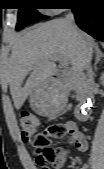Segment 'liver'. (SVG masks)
Returning a JSON list of instances; mask_svg holds the SVG:
<instances>
[{
	"instance_id": "obj_1",
	"label": "liver",
	"mask_w": 104,
	"mask_h": 169,
	"mask_svg": "<svg viewBox=\"0 0 104 169\" xmlns=\"http://www.w3.org/2000/svg\"><path fill=\"white\" fill-rule=\"evenodd\" d=\"M96 46L94 39L85 32L76 28L74 34L63 18L50 20L19 34L6 71L15 108L20 109L27 97L55 74V57H64L79 75L91 60Z\"/></svg>"
}]
</instances>
